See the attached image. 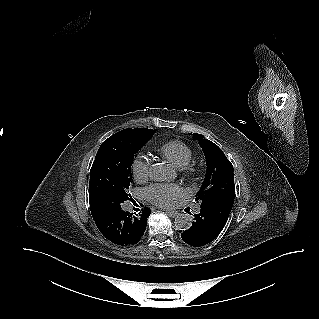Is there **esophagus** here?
Listing matches in <instances>:
<instances>
[{
	"instance_id": "esophagus-1",
	"label": "esophagus",
	"mask_w": 319,
	"mask_h": 319,
	"mask_svg": "<svg viewBox=\"0 0 319 319\" xmlns=\"http://www.w3.org/2000/svg\"><path fill=\"white\" fill-rule=\"evenodd\" d=\"M166 213L170 216V217H176L178 216V212L174 211V210H166Z\"/></svg>"
}]
</instances>
